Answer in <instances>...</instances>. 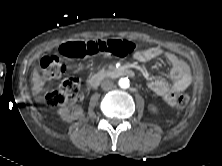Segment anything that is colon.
<instances>
[{
	"label": "colon",
	"instance_id": "1",
	"mask_svg": "<svg viewBox=\"0 0 222 166\" xmlns=\"http://www.w3.org/2000/svg\"><path fill=\"white\" fill-rule=\"evenodd\" d=\"M136 44L130 40L123 39H100L88 42L75 41L63 44L60 47V54L63 57L76 59L103 56L123 57L132 53ZM41 69L44 78L58 79L65 72V66L58 55L52 54L42 58ZM81 96V84L76 77H69L52 91L46 94L45 103L50 107H60L66 103L75 102ZM189 102L186 94L177 97V109H184Z\"/></svg>",
	"mask_w": 222,
	"mask_h": 166
}]
</instances>
